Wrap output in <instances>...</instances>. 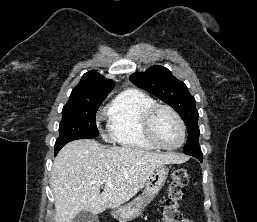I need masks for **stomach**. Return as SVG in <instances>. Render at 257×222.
<instances>
[{"instance_id": "stomach-1", "label": "stomach", "mask_w": 257, "mask_h": 222, "mask_svg": "<svg viewBox=\"0 0 257 222\" xmlns=\"http://www.w3.org/2000/svg\"><path fill=\"white\" fill-rule=\"evenodd\" d=\"M168 172L169 169L165 166L156 168L148 177L143 194L124 206L114 208L111 213L112 216L121 222L138 217L145 206L150 203L161 190L168 176Z\"/></svg>"}]
</instances>
